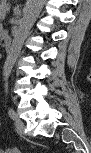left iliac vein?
<instances>
[{"label":"left iliac vein","mask_w":91,"mask_h":153,"mask_svg":"<svg viewBox=\"0 0 91 153\" xmlns=\"http://www.w3.org/2000/svg\"><path fill=\"white\" fill-rule=\"evenodd\" d=\"M14 120H15V126H16L17 130L21 134H24L25 125H24L23 121L18 117L17 114H16V118Z\"/></svg>","instance_id":"1"}]
</instances>
